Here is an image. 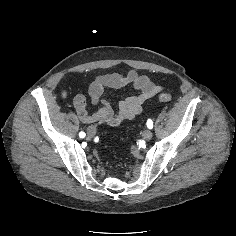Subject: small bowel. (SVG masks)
<instances>
[{
    "label": "small bowel",
    "mask_w": 236,
    "mask_h": 236,
    "mask_svg": "<svg viewBox=\"0 0 236 236\" xmlns=\"http://www.w3.org/2000/svg\"><path fill=\"white\" fill-rule=\"evenodd\" d=\"M127 85H131L139 93L120 101L117 110H114L110 103L103 99L104 91L106 89L118 90ZM161 90V86L155 84L148 76L139 74L135 70L129 71L126 75L102 74L97 76L88 88V95L92 104L99 106V109L95 113L89 114L86 109V98L82 94L75 96L73 104L78 118L83 123L118 126L125 120L138 116L142 112L143 104Z\"/></svg>",
    "instance_id": "obj_1"
}]
</instances>
